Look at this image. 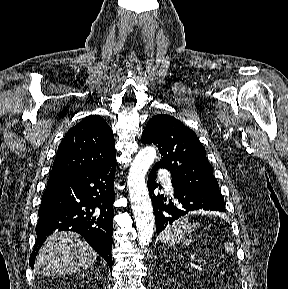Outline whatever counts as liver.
Wrapping results in <instances>:
<instances>
[{"label": "liver", "instance_id": "liver-1", "mask_svg": "<svg viewBox=\"0 0 288 289\" xmlns=\"http://www.w3.org/2000/svg\"><path fill=\"white\" fill-rule=\"evenodd\" d=\"M97 253L78 234L55 231L39 250L35 269L41 275L59 276L87 269Z\"/></svg>", "mask_w": 288, "mask_h": 289}]
</instances>
